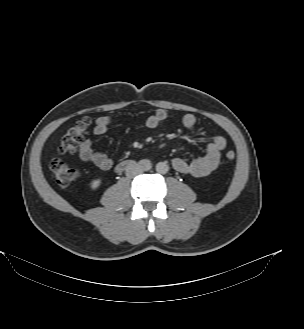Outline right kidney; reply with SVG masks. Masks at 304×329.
Instances as JSON below:
<instances>
[{
  "label": "right kidney",
  "mask_w": 304,
  "mask_h": 329,
  "mask_svg": "<svg viewBox=\"0 0 304 329\" xmlns=\"http://www.w3.org/2000/svg\"><path fill=\"white\" fill-rule=\"evenodd\" d=\"M100 183H101V180L100 179L93 180L91 182V188L93 190L97 189L100 186Z\"/></svg>",
  "instance_id": "obj_1"
}]
</instances>
